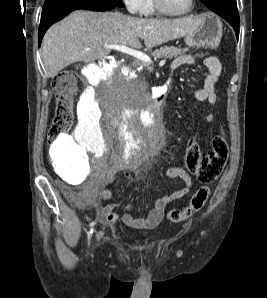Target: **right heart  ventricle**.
Instances as JSON below:
<instances>
[{
	"mask_svg": "<svg viewBox=\"0 0 267 298\" xmlns=\"http://www.w3.org/2000/svg\"><path fill=\"white\" fill-rule=\"evenodd\" d=\"M141 13L147 17L157 15V12L154 8L153 0H144L143 9Z\"/></svg>",
	"mask_w": 267,
	"mask_h": 298,
	"instance_id": "e07e8e85",
	"label": "right heart ventricle"
}]
</instances>
